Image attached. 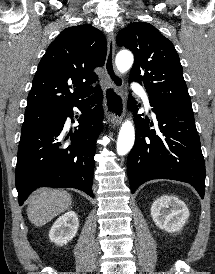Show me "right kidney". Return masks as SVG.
<instances>
[{
	"label": "right kidney",
	"instance_id": "ca27d5eb",
	"mask_svg": "<svg viewBox=\"0 0 215 274\" xmlns=\"http://www.w3.org/2000/svg\"><path fill=\"white\" fill-rule=\"evenodd\" d=\"M78 227V216L74 211H68L55 221L49 232V238L55 244L63 246L75 237Z\"/></svg>",
	"mask_w": 215,
	"mask_h": 274
}]
</instances>
